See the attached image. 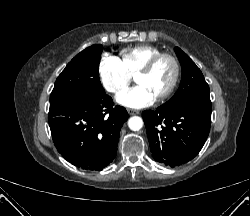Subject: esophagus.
Instances as JSON below:
<instances>
[{
    "instance_id": "1",
    "label": "esophagus",
    "mask_w": 250,
    "mask_h": 216,
    "mask_svg": "<svg viewBox=\"0 0 250 216\" xmlns=\"http://www.w3.org/2000/svg\"><path fill=\"white\" fill-rule=\"evenodd\" d=\"M127 111H128V113H129V115H135V114H138V113H139V111L134 110V109H127Z\"/></svg>"
}]
</instances>
